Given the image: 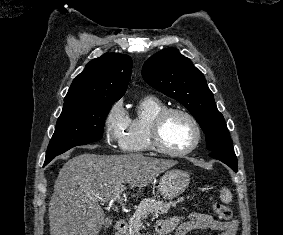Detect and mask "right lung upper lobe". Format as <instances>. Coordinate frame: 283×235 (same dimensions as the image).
Instances as JSON below:
<instances>
[{
	"label": "right lung upper lobe",
	"mask_w": 283,
	"mask_h": 235,
	"mask_svg": "<svg viewBox=\"0 0 283 235\" xmlns=\"http://www.w3.org/2000/svg\"><path fill=\"white\" fill-rule=\"evenodd\" d=\"M131 71L132 60L124 54L106 53L93 59L74 78L64 103L117 101L126 92Z\"/></svg>",
	"instance_id": "obj_1"
}]
</instances>
